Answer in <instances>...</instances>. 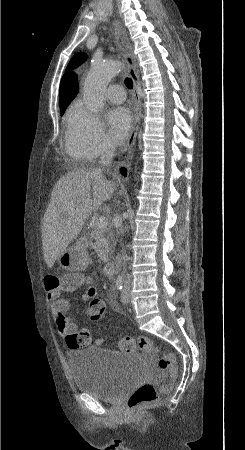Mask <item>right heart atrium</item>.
Returning a JSON list of instances; mask_svg holds the SVG:
<instances>
[{
  "mask_svg": "<svg viewBox=\"0 0 245 450\" xmlns=\"http://www.w3.org/2000/svg\"><path fill=\"white\" fill-rule=\"evenodd\" d=\"M65 149L82 161L94 160L113 149L100 120L80 103L68 113Z\"/></svg>",
  "mask_w": 245,
  "mask_h": 450,
  "instance_id": "1",
  "label": "right heart atrium"
}]
</instances>
